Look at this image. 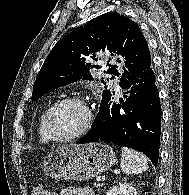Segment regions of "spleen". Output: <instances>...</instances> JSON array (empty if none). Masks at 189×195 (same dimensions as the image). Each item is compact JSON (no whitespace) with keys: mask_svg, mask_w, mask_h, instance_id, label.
Instances as JSON below:
<instances>
[{"mask_svg":"<svg viewBox=\"0 0 189 195\" xmlns=\"http://www.w3.org/2000/svg\"><path fill=\"white\" fill-rule=\"evenodd\" d=\"M120 168L126 174H139L148 169L147 158L134 150L123 147Z\"/></svg>","mask_w":189,"mask_h":195,"instance_id":"obj_1","label":"spleen"}]
</instances>
